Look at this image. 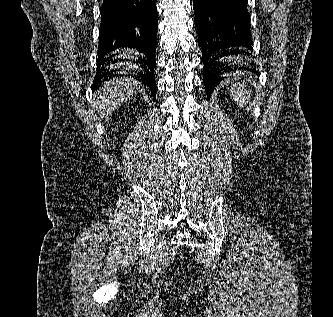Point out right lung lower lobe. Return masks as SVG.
<instances>
[{"mask_svg":"<svg viewBox=\"0 0 333 317\" xmlns=\"http://www.w3.org/2000/svg\"><path fill=\"white\" fill-rule=\"evenodd\" d=\"M156 2L157 0H103L98 45L100 71L93 81V91L107 78V74L102 73L106 61L104 56L117 48L131 47L146 55L142 65L145 71L139 74L138 80L149 87L155 98L154 68L158 29Z\"/></svg>","mask_w":333,"mask_h":317,"instance_id":"obj_1","label":"right lung lower lobe"}]
</instances>
